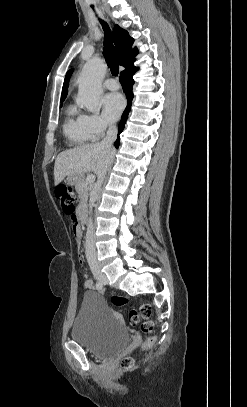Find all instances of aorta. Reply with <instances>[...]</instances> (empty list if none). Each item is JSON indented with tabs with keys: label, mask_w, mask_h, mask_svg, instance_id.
<instances>
[{
	"label": "aorta",
	"mask_w": 247,
	"mask_h": 407,
	"mask_svg": "<svg viewBox=\"0 0 247 407\" xmlns=\"http://www.w3.org/2000/svg\"><path fill=\"white\" fill-rule=\"evenodd\" d=\"M106 71V63L102 59L95 57L84 65L78 78L77 102L91 113L100 111L101 84Z\"/></svg>",
	"instance_id": "1"
}]
</instances>
